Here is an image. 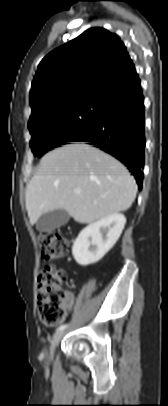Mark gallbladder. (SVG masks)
I'll return each instance as SVG.
<instances>
[{
  "instance_id": "gallbladder-1",
  "label": "gallbladder",
  "mask_w": 168,
  "mask_h": 406,
  "mask_svg": "<svg viewBox=\"0 0 168 406\" xmlns=\"http://www.w3.org/2000/svg\"><path fill=\"white\" fill-rule=\"evenodd\" d=\"M70 215L63 209L53 210L44 213L36 222V229L39 232H51L60 226L68 223Z\"/></svg>"
}]
</instances>
